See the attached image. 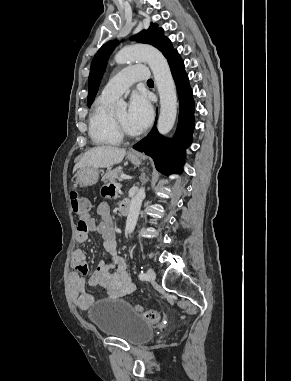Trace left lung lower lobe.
<instances>
[{
	"label": "left lung lower lobe",
	"instance_id": "left-lung-lower-lobe-1",
	"mask_svg": "<svg viewBox=\"0 0 291 381\" xmlns=\"http://www.w3.org/2000/svg\"><path fill=\"white\" fill-rule=\"evenodd\" d=\"M168 63L176 83L180 112L176 133L173 139L163 137L156 127L133 148L153 158L157 170L162 173H181L185 149L191 143L195 126L194 101L184 63L175 51Z\"/></svg>",
	"mask_w": 291,
	"mask_h": 381
}]
</instances>
